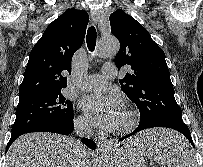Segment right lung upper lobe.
<instances>
[{"mask_svg":"<svg viewBox=\"0 0 203 167\" xmlns=\"http://www.w3.org/2000/svg\"><path fill=\"white\" fill-rule=\"evenodd\" d=\"M88 21L87 12L68 9L49 24L30 52L19 102L67 86L63 74L71 73L72 56L83 43Z\"/></svg>","mask_w":203,"mask_h":167,"instance_id":"obj_1","label":"right lung upper lobe"}]
</instances>
